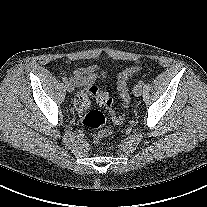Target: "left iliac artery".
Returning <instances> with one entry per match:
<instances>
[{
    "label": "left iliac artery",
    "instance_id": "44dca946",
    "mask_svg": "<svg viewBox=\"0 0 207 207\" xmlns=\"http://www.w3.org/2000/svg\"><path fill=\"white\" fill-rule=\"evenodd\" d=\"M138 84H139L140 86H142V85L144 84V82H143L142 80H140V81L138 82Z\"/></svg>",
    "mask_w": 207,
    "mask_h": 207
}]
</instances>
